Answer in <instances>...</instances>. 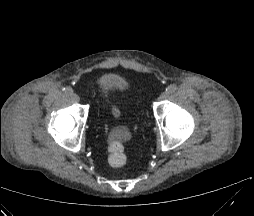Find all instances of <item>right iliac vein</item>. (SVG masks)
Masks as SVG:
<instances>
[{"instance_id": "right-iliac-vein-1", "label": "right iliac vein", "mask_w": 254, "mask_h": 216, "mask_svg": "<svg viewBox=\"0 0 254 216\" xmlns=\"http://www.w3.org/2000/svg\"><path fill=\"white\" fill-rule=\"evenodd\" d=\"M71 98H72L73 101H75V102H79V101H80V97H79L78 94H76V93H73V94L71 95Z\"/></svg>"}]
</instances>
